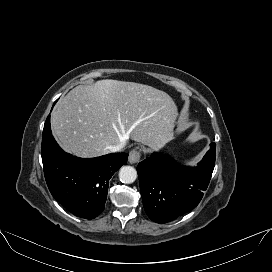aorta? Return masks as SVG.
Wrapping results in <instances>:
<instances>
[{"instance_id":"1","label":"aorta","mask_w":272,"mask_h":272,"mask_svg":"<svg viewBox=\"0 0 272 272\" xmlns=\"http://www.w3.org/2000/svg\"><path fill=\"white\" fill-rule=\"evenodd\" d=\"M119 178L122 183L131 184L137 178V171L132 166H123L119 171Z\"/></svg>"}]
</instances>
